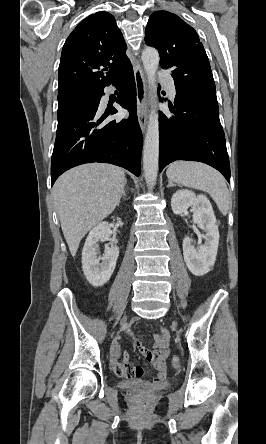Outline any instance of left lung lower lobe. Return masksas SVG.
I'll return each mask as SVG.
<instances>
[{"label": "left lung lower lobe", "instance_id": "1", "mask_svg": "<svg viewBox=\"0 0 266 444\" xmlns=\"http://www.w3.org/2000/svg\"><path fill=\"white\" fill-rule=\"evenodd\" d=\"M174 116H159V170L175 160L206 163L230 183L225 135L215 89L176 87Z\"/></svg>", "mask_w": 266, "mask_h": 444}]
</instances>
